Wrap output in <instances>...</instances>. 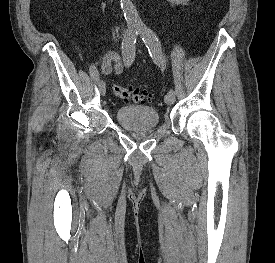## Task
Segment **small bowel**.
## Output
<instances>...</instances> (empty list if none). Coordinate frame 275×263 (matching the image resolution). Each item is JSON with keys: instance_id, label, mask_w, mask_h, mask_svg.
Listing matches in <instances>:
<instances>
[{"instance_id": "c3829d8e", "label": "small bowel", "mask_w": 275, "mask_h": 263, "mask_svg": "<svg viewBox=\"0 0 275 263\" xmlns=\"http://www.w3.org/2000/svg\"><path fill=\"white\" fill-rule=\"evenodd\" d=\"M113 70L117 74H122L124 66L119 55L115 51H109L103 57L101 73L107 75L112 73Z\"/></svg>"}]
</instances>
